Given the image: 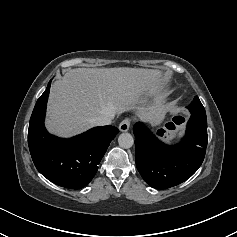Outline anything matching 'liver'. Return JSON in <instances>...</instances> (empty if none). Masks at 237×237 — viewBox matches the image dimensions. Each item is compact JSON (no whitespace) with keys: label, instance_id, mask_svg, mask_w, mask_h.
Masks as SVG:
<instances>
[{"label":"liver","instance_id":"obj_1","mask_svg":"<svg viewBox=\"0 0 237 237\" xmlns=\"http://www.w3.org/2000/svg\"><path fill=\"white\" fill-rule=\"evenodd\" d=\"M161 72L143 68H76L55 81L50 90L46 127L60 137H71L93 127L99 115L137 110L144 119L154 107L138 106L143 96L162 88Z\"/></svg>","mask_w":237,"mask_h":237}]
</instances>
